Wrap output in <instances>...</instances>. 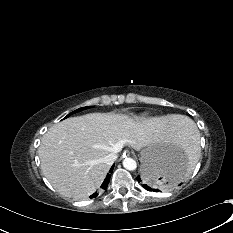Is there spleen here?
<instances>
[{
    "label": "spleen",
    "instance_id": "1",
    "mask_svg": "<svg viewBox=\"0 0 233 233\" xmlns=\"http://www.w3.org/2000/svg\"><path fill=\"white\" fill-rule=\"evenodd\" d=\"M178 133V140L171 148H176L183 154V159L187 163H195L200 158L198 147V132L193 122L186 118L184 119V125ZM183 176L179 178V182L182 181Z\"/></svg>",
    "mask_w": 233,
    "mask_h": 233
}]
</instances>
